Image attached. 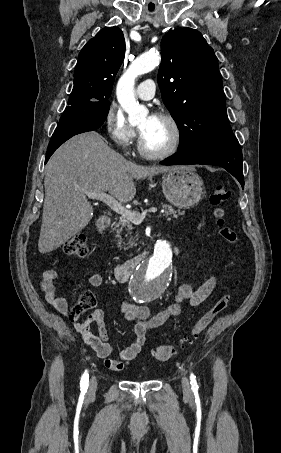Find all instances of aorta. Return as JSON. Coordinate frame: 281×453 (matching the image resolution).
Listing matches in <instances>:
<instances>
[{
  "label": "aorta",
  "instance_id": "aorta-1",
  "mask_svg": "<svg viewBox=\"0 0 281 453\" xmlns=\"http://www.w3.org/2000/svg\"><path fill=\"white\" fill-rule=\"evenodd\" d=\"M159 63V54L145 53L132 62L118 81L117 99L124 111L128 113L130 124L140 122L148 114L147 108L140 105L135 99V79L152 71ZM171 262L172 250L170 244L164 240L157 241L154 254L138 265L131 276L129 289L134 300L140 303H149L165 292L172 277L169 269Z\"/></svg>",
  "mask_w": 281,
  "mask_h": 453
}]
</instances>
